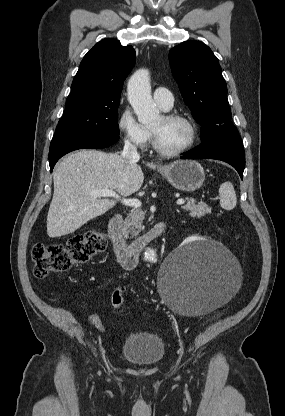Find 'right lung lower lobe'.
<instances>
[{
  "label": "right lung lower lobe",
  "mask_w": 285,
  "mask_h": 416,
  "mask_svg": "<svg viewBox=\"0 0 285 416\" xmlns=\"http://www.w3.org/2000/svg\"><path fill=\"white\" fill-rule=\"evenodd\" d=\"M119 139L116 135L61 134L54 135L49 149V165L52 172L56 162L65 154L78 149H100L111 146Z\"/></svg>",
  "instance_id": "98d812e1"
}]
</instances>
